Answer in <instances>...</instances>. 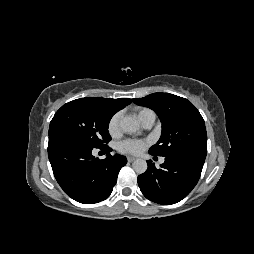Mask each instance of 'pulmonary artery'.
Returning a JSON list of instances; mask_svg holds the SVG:
<instances>
[{"mask_svg":"<svg viewBox=\"0 0 254 254\" xmlns=\"http://www.w3.org/2000/svg\"><path fill=\"white\" fill-rule=\"evenodd\" d=\"M154 121H155V116L153 115H148L140 119V123L144 129H150L153 126ZM160 162L163 163L164 158H161Z\"/></svg>","mask_w":254,"mask_h":254,"instance_id":"obj_1","label":"pulmonary artery"}]
</instances>
